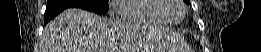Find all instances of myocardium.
Instances as JSON below:
<instances>
[{"instance_id": "obj_1", "label": "myocardium", "mask_w": 261, "mask_h": 52, "mask_svg": "<svg viewBox=\"0 0 261 52\" xmlns=\"http://www.w3.org/2000/svg\"><path fill=\"white\" fill-rule=\"evenodd\" d=\"M167 3V7L163 10V16L168 20L169 24H177L181 22L186 15V7L182 0H164ZM176 7H179L182 10L181 18L177 20H172L169 18V13L174 10Z\"/></svg>"}]
</instances>
